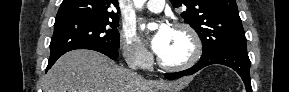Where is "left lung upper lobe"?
I'll list each match as a JSON object with an SVG mask.
<instances>
[{"label":"left lung upper lobe","instance_id":"left-lung-upper-lobe-1","mask_svg":"<svg viewBox=\"0 0 289 92\" xmlns=\"http://www.w3.org/2000/svg\"><path fill=\"white\" fill-rule=\"evenodd\" d=\"M174 7L187 6L181 14L199 35L202 56L229 49H246V38L235 0H170Z\"/></svg>","mask_w":289,"mask_h":92}]
</instances>
